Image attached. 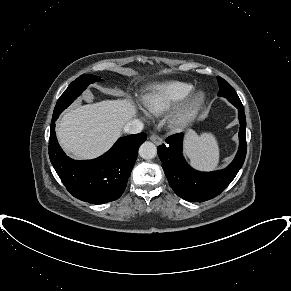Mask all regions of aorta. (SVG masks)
I'll use <instances>...</instances> for the list:
<instances>
[{
	"mask_svg": "<svg viewBox=\"0 0 291 291\" xmlns=\"http://www.w3.org/2000/svg\"><path fill=\"white\" fill-rule=\"evenodd\" d=\"M139 155L146 160L153 159L157 155V147L152 142H144L139 148Z\"/></svg>",
	"mask_w": 291,
	"mask_h": 291,
	"instance_id": "762f6f07",
	"label": "aorta"
}]
</instances>
